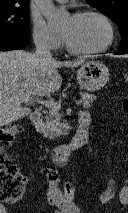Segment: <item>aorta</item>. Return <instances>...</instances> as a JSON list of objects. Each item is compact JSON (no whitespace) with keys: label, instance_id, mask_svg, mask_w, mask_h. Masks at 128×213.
I'll return each instance as SVG.
<instances>
[{"label":"aorta","instance_id":"obj_1","mask_svg":"<svg viewBox=\"0 0 128 213\" xmlns=\"http://www.w3.org/2000/svg\"><path fill=\"white\" fill-rule=\"evenodd\" d=\"M39 5L44 17L48 23L53 26L60 25L66 18V13L62 10L55 8L52 0H35Z\"/></svg>","mask_w":128,"mask_h":213}]
</instances>
